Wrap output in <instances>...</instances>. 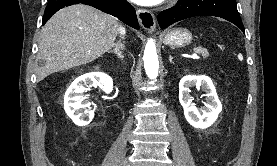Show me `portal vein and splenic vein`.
Listing matches in <instances>:
<instances>
[{
	"label": "portal vein and splenic vein",
	"mask_w": 277,
	"mask_h": 166,
	"mask_svg": "<svg viewBox=\"0 0 277 166\" xmlns=\"http://www.w3.org/2000/svg\"><path fill=\"white\" fill-rule=\"evenodd\" d=\"M197 53H198V52H196V53L192 54V56H191V57H192V58H194V59H195V58H199V56L197 55Z\"/></svg>",
	"instance_id": "portal-vein-and-splenic-vein-1"
}]
</instances>
